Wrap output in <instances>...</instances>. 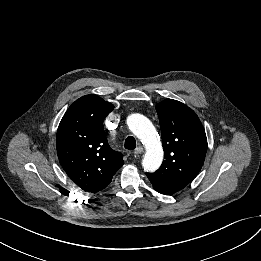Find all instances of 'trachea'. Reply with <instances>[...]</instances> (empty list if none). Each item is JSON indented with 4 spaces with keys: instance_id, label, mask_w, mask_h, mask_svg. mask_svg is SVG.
Masks as SVG:
<instances>
[{
    "instance_id": "obj_1",
    "label": "trachea",
    "mask_w": 261,
    "mask_h": 261,
    "mask_svg": "<svg viewBox=\"0 0 261 261\" xmlns=\"http://www.w3.org/2000/svg\"><path fill=\"white\" fill-rule=\"evenodd\" d=\"M124 147H125L127 150H133V149H135V148H136V140H135V138L132 137V136L127 137V139L125 140Z\"/></svg>"
}]
</instances>
